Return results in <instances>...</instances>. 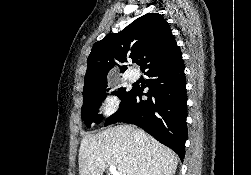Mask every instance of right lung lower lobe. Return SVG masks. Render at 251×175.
<instances>
[{"instance_id": "right-lung-lower-lobe-1", "label": "right lung lower lobe", "mask_w": 251, "mask_h": 175, "mask_svg": "<svg viewBox=\"0 0 251 175\" xmlns=\"http://www.w3.org/2000/svg\"><path fill=\"white\" fill-rule=\"evenodd\" d=\"M149 91L134 87L122 99L120 109L105 125L124 122L143 128L162 144L173 149L183 161L187 140V95L182 57L145 73ZM142 95L148 97L142 100Z\"/></svg>"}]
</instances>
